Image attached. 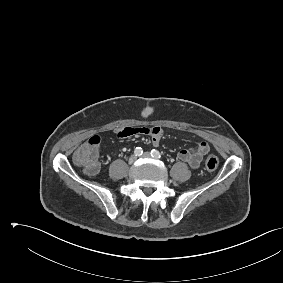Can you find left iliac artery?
Returning a JSON list of instances; mask_svg holds the SVG:
<instances>
[{"label":"left iliac artery","mask_w":283,"mask_h":283,"mask_svg":"<svg viewBox=\"0 0 283 283\" xmlns=\"http://www.w3.org/2000/svg\"><path fill=\"white\" fill-rule=\"evenodd\" d=\"M151 156H152L153 158H156V159H160V158H161L160 152L157 151V150H155V149L151 150Z\"/></svg>","instance_id":"1"}]
</instances>
